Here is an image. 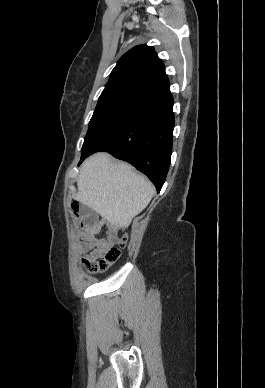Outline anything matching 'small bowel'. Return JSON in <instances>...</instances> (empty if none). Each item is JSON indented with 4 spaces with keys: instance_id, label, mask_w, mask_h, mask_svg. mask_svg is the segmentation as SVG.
Listing matches in <instances>:
<instances>
[{
    "instance_id": "obj_1",
    "label": "small bowel",
    "mask_w": 265,
    "mask_h": 388,
    "mask_svg": "<svg viewBox=\"0 0 265 388\" xmlns=\"http://www.w3.org/2000/svg\"><path fill=\"white\" fill-rule=\"evenodd\" d=\"M107 228V237H97L103 225ZM83 227L86 229L84 242L79 245V250L86 253V260L99 259L117 238V226L112 221H98L94 214H87L83 219Z\"/></svg>"
}]
</instances>
